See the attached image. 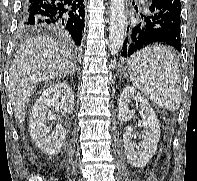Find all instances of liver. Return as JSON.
Masks as SVG:
<instances>
[{
  "label": "liver",
  "mask_w": 197,
  "mask_h": 181,
  "mask_svg": "<svg viewBox=\"0 0 197 181\" xmlns=\"http://www.w3.org/2000/svg\"><path fill=\"white\" fill-rule=\"evenodd\" d=\"M76 64L63 43L39 36L22 43L10 67L9 92L16 120L25 121L24 105L41 82L73 74Z\"/></svg>",
  "instance_id": "obj_1"
}]
</instances>
